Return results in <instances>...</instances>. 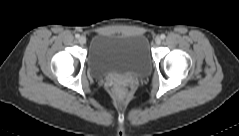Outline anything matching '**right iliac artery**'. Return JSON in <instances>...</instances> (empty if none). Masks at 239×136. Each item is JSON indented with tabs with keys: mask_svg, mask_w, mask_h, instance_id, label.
I'll use <instances>...</instances> for the list:
<instances>
[{
	"mask_svg": "<svg viewBox=\"0 0 239 136\" xmlns=\"http://www.w3.org/2000/svg\"><path fill=\"white\" fill-rule=\"evenodd\" d=\"M75 37H76V38H79V37H80V35H79V34H76V35H75Z\"/></svg>",
	"mask_w": 239,
	"mask_h": 136,
	"instance_id": "obj_1",
	"label": "right iliac artery"
}]
</instances>
